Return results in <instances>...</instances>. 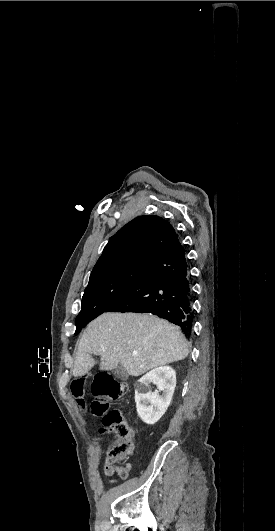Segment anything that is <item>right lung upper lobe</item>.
<instances>
[{
	"label": "right lung upper lobe",
	"instance_id": "right-lung-upper-lobe-1",
	"mask_svg": "<svg viewBox=\"0 0 275 531\" xmlns=\"http://www.w3.org/2000/svg\"><path fill=\"white\" fill-rule=\"evenodd\" d=\"M175 234L172 225L159 216L133 219L109 239L91 272L89 282L119 269L147 265Z\"/></svg>",
	"mask_w": 275,
	"mask_h": 531
}]
</instances>
